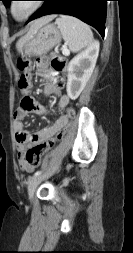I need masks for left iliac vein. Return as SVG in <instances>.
Instances as JSON below:
<instances>
[{
	"instance_id": "obj_1",
	"label": "left iliac vein",
	"mask_w": 133,
	"mask_h": 253,
	"mask_svg": "<svg viewBox=\"0 0 133 253\" xmlns=\"http://www.w3.org/2000/svg\"><path fill=\"white\" fill-rule=\"evenodd\" d=\"M58 169V166L55 167L53 170L43 174V175H38L36 177H34L28 184V196H29V200L32 201L33 200V196H34V192L36 190V188L38 187V185L46 180L47 178H49L56 170Z\"/></svg>"
}]
</instances>
